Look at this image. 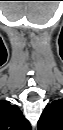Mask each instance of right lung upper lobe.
Wrapping results in <instances>:
<instances>
[{"label": "right lung upper lobe", "mask_w": 63, "mask_h": 130, "mask_svg": "<svg viewBox=\"0 0 63 130\" xmlns=\"http://www.w3.org/2000/svg\"><path fill=\"white\" fill-rule=\"evenodd\" d=\"M0 128L2 130H30L28 120L16 105L0 101Z\"/></svg>", "instance_id": "right-lung-upper-lobe-1"}]
</instances>
